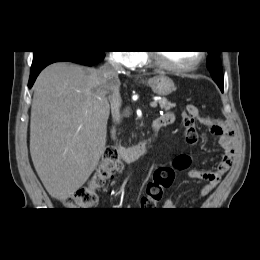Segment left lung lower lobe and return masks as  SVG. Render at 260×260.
I'll return each instance as SVG.
<instances>
[{"label": "left lung lower lobe", "mask_w": 260, "mask_h": 260, "mask_svg": "<svg viewBox=\"0 0 260 260\" xmlns=\"http://www.w3.org/2000/svg\"><path fill=\"white\" fill-rule=\"evenodd\" d=\"M216 82V84L219 86L220 90L223 92V84H224V80L219 81V80H214Z\"/></svg>", "instance_id": "obj_1"}]
</instances>
